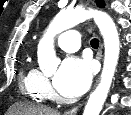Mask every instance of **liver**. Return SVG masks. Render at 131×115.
Returning <instances> with one entry per match:
<instances>
[{
	"mask_svg": "<svg viewBox=\"0 0 131 115\" xmlns=\"http://www.w3.org/2000/svg\"><path fill=\"white\" fill-rule=\"evenodd\" d=\"M8 113L10 115H60L50 108L21 103L13 105Z\"/></svg>",
	"mask_w": 131,
	"mask_h": 115,
	"instance_id": "liver-1",
	"label": "liver"
}]
</instances>
